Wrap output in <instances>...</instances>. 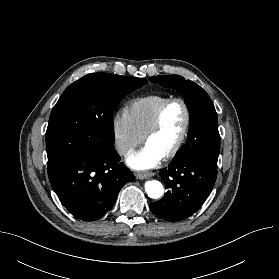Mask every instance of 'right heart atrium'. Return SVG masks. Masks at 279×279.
Segmentation results:
<instances>
[{"label": "right heart atrium", "instance_id": "d8ad5b80", "mask_svg": "<svg viewBox=\"0 0 279 279\" xmlns=\"http://www.w3.org/2000/svg\"><path fill=\"white\" fill-rule=\"evenodd\" d=\"M115 146L120 155L130 154L142 141L125 112L117 113L112 121Z\"/></svg>", "mask_w": 279, "mask_h": 279}]
</instances>
